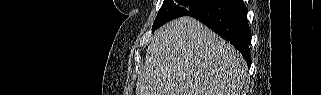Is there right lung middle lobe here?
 Listing matches in <instances>:
<instances>
[{"label": "right lung middle lobe", "mask_w": 321, "mask_h": 95, "mask_svg": "<svg viewBox=\"0 0 321 95\" xmlns=\"http://www.w3.org/2000/svg\"><path fill=\"white\" fill-rule=\"evenodd\" d=\"M210 1L211 0H164L153 23L152 31L174 18L191 14Z\"/></svg>", "instance_id": "dd1d6c3e"}]
</instances>
